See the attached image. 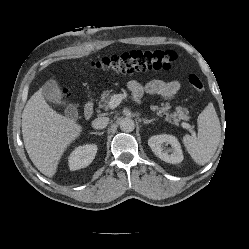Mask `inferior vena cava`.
<instances>
[{
  "label": "inferior vena cava",
  "instance_id": "1",
  "mask_svg": "<svg viewBox=\"0 0 249 249\" xmlns=\"http://www.w3.org/2000/svg\"><path fill=\"white\" fill-rule=\"evenodd\" d=\"M109 123L108 117H98L92 122V127L94 129H104Z\"/></svg>",
  "mask_w": 249,
  "mask_h": 249
}]
</instances>
